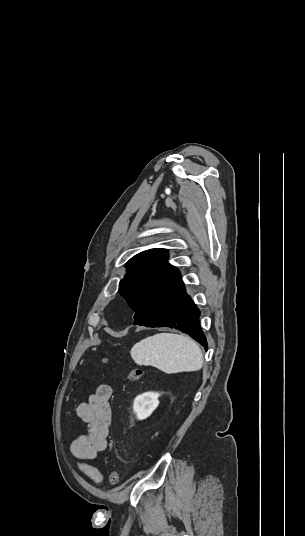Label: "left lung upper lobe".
<instances>
[{
    "instance_id": "left-lung-upper-lobe-1",
    "label": "left lung upper lobe",
    "mask_w": 305,
    "mask_h": 536,
    "mask_svg": "<svg viewBox=\"0 0 305 536\" xmlns=\"http://www.w3.org/2000/svg\"><path fill=\"white\" fill-rule=\"evenodd\" d=\"M167 259L166 249H150L126 263L127 274L120 281L119 292L133 310L180 276L178 269Z\"/></svg>"
}]
</instances>
